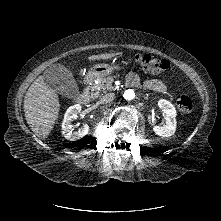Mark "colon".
<instances>
[{
	"label": "colon",
	"instance_id": "5ec220e1",
	"mask_svg": "<svg viewBox=\"0 0 221 221\" xmlns=\"http://www.w3.org/2000/svg\"><path fill=\"white\" fill-rule=\"evenodd\" d=\"M120 62L125 67L131 64L134 66L142 65L151 73H165L170 69V63L168 61L156 59L149 55L142 56L139 53H134L131 56L125 54L121 57ZM176 104L182 116H188L192 111V102L186 95H180L177 98Z\"/></svg>",
	"mask_w": 221,
	"mask_h": 221
}]
</instances>
